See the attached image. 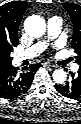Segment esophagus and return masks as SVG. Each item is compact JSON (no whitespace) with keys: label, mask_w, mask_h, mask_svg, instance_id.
<instances>
[{"label":"esophagus","mask_w":81,"mask_h":124,"mask_svg":"<svg viewBox=\"0 0 81 124\" xmlns=\"http://www.w3.org/2000/svg\"><path fill=\"white\" fill-rule=\"evenodd\" d=\"M44 66H47V67H57V65L52 64L51 62L44 63Z\"/></svg>","instance_id":"esophagus-1"}]
</instances>
